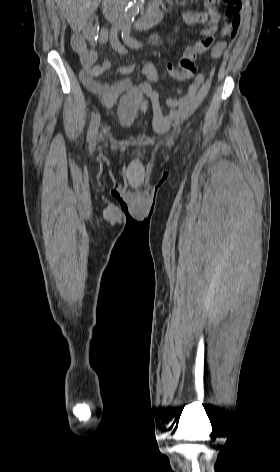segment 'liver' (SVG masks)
Segmentation results:
<instances>
[{
  "label": "liver",
  "mask_w": 280,
  "mask_h": 472,
  "mask_svg": "<svg viewBox=\"0 0 280 472\" xmlns=\"http://www.w3.org/2000/svg\"><path fill=\"white\" fill-rule=\"evenodd\" d=\"M57 6L74 31L81 30L101 0H56Z\"/></svg>",
  "instance_id": "1"
}]
</instances>
